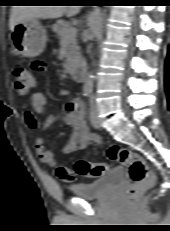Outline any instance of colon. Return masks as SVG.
<instances>
[{
  "label": "colon",
  "instance_id": "1",
  "mask_svg": "<svg viewBox=\"0 0 170 231\" xmlns=\"http://www.w3.org/2000/svg\"><path fill=\"white\" fill-rule=\"evenodd\" d=\"M12 74L14 85L18 93L27 94L35 85V79L31 69L25 65L17 64L13 67ZM107 157L128 168L129 175L133 181L132 186L127 192V200L134 201L143 192L151 188L155 183V175L144 159L137 153L113 145L107 150ZM108 170V166L103 163H91L87 160L80 159L74 164L73 170L60 166L56 170L57 176L64 182H72L75 173L84 177H100Z\"/></svg>",
  "mask_w": 170,
  "mask_h": 231
}]
</instances>
